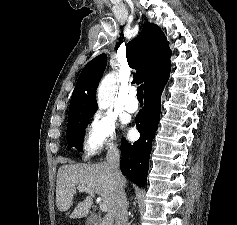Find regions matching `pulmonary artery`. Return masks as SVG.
Listing matches in <instances>:
<instances>
[{
    "label": "pulmonary artery",
    "instance_id": "obj_1",
    "mask_svg": "<svg viewBox=\"0 0 237 225\" xmlns=\"http://www.w3.org/2000/svg\"><path fill=\"white\" fill-rule=\"evenodd\" d=\"M138 101L134 89H131L125 99L124 109L129 113H135L138 110Z\"/></svg>",
    "mask_w": 237,
    "mask_h": 225
}]
</instances>
